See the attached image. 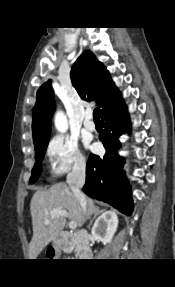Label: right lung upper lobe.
I'll use <instances>...</instances> for the list:
<instances>
[{
    "label": "right lung upper lobe",
    "instance_id": "cb5924a9",
    "mask_svg": "<svg viewBox=\"0 0 175 287\" xmlns=\"http://www.w3.org/2000/svg\"><path fill=\"white\" fill-rule=\"evenodd\" d=\"M70 77L74 88L82 99L96 101L100 108V116L123 100L108 70L91 51H85L76 60ZM54 108V91L51 80H48L38 90L33 109L34 144L49 138L50 118Z\"/></svg>",
    "mask_w": 175,
    "mask_h": 287
}]
</instances>
